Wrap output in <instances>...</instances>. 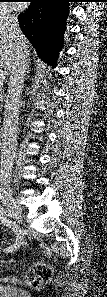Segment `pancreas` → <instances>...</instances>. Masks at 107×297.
<instances>
[{"mask_svg":"<svg viewBox=\"0 0 107 297\" xmlns=\"http://www.w3.org/2000/svg\"><path fill=\"white\" fill-rule=\"evenodd\" d=\"M3 102V96H1V103Z\"/></svg>","mask_w":107,"mask_h":297,"instance_id":"obj_1","label":"pancreas"}]
</instances>
